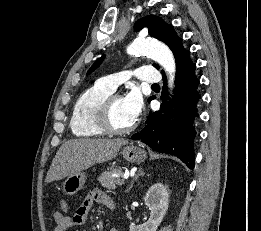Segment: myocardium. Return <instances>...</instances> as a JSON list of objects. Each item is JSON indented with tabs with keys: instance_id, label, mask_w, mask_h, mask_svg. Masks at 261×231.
<instances>
[{
	"instance_id": "myocardium-1",
	"label": "myocardium",
	"mask_w": 261,
	"mask_h": 231,
	"mask_svg": "<svg viewBox=\"0 0 261 231\" xmlns=\"http://www.w3.org/2000/svg\"><path fill=\"white\" fill-rule=\"evenodd\" d=\"M122 98V95L118 93H112L109 95L99 106L97 113H96V123L100 129L108 134H115V135H123L132 132L137 126V120H135L131 125L119 128L116 127L112 122V106L113 103L117 100Z\"/></svg>"
}]
</instances>
